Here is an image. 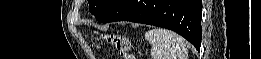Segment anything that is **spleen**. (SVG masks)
I'll list each match as a JSON object with an SVG mask.
<instances>
[{
    "label": "spleen",
    "mask_w": 261,
    "mask_h": 59,
    "mask_svg": "<svg viewBox=\"0 0 261 59\" xmlns=\"http://www.w3.org/2000/svg\"><path fill=\"white\" fill-rule=\"evenodd\" d=\"M144 36L151 46L153 59H187L185 40L175 32L154 28L148 30Z\"/></svg>",
    "instance_id": "1"
}]
</instances>
